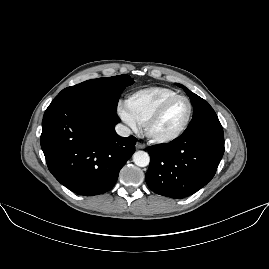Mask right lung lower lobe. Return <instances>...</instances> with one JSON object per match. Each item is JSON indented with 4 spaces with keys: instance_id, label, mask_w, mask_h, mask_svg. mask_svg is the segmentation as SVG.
I'll return each mask as SVG.
<instances>
[{
    "instance_id": "1",
    "label": "right lung lower lobe",
    "mask_w": 269,
    "mask_h": 269,
    "mask_svg": "<svg viewBox=\"0 0 269 269\" xmlns=\"http://www.w3.org/2000/svg\"><path fill=\"white\" fill-rule=\"evenodd\" d=\"M116 110L102 104L57 96L42 120L41 147L48 169L78 195L109 191L135 152L136 138L120 137Z\"/></svg>"
}]
</instances>
